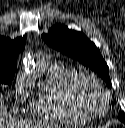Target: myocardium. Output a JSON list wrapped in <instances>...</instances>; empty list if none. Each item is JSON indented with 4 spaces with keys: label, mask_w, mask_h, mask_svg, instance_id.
Returning <instances> with one entry per match:
<instances>
[{
    "label": "myocardium",
    "mask_w": 125,
    "mask_h": 128,
    "mask_svg": "<svg viewBox=\"0 0 125 128\" xmlns=\"http://www.w3.org/2000/svg\"><path fill=\"white\" fill-rule=\"evenodd\" d=\"M87 83L94 86L103 97V106L100 111H92L82 98L81 89ZM69 95L75 107L89 119L99 118L108 110L110 95L102 82L92 74L78 73L69 85Z\"/></svg>",
    "instance_id": "obj_1"
}]
</instances>
